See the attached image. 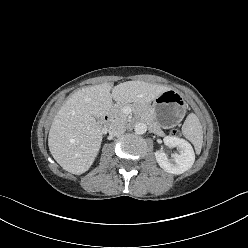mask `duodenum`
Segmentation results:
<instances>
[{
	"label": "duodenum",
	"instance_id": "obj_1",
	"mask_svg": "<svg viewBox=\"0 0 248 248\" xmlns=\"http://www.w3.org/2000/svg\"><path fill=\"white\" fill-rule=\"evenodd\" d=\"M110 119H111V115H110V113L107 112L104 114L101 121L103 124H108Z\"/></svg>",
	"mask_w": 248,
	"mask_h": 248
}]
</instances>
